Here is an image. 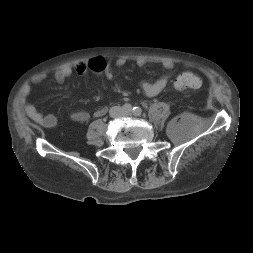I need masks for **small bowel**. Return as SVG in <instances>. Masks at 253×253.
Segmentation results:
<instances>
[{"instance_id":"obj_1","label":"small bowel","mask_w":253,"mask_h":253,"mask_svg":"<svg viewBox=\"0 0 253 253\" xmlns=\"http://www.w3.org/2000/svg\"><path fill=\"white\" fill-rule=\"evenodd\" d=\"M89 62H78L75 64L74 68L65 66L60 68L55 72L54 78L58 83H63L68 77L71 76L73 72H76L79 75H84L87 71H89ZM127 63V59L124 57H119L113 61V65L116 67H122ZM136 64L139 67H142L146 64L145 59H137ZM162 67L166 70H172L174 68V63L171 60H165L162 62ZM113 75L111 66L108 65L106 76L110 78ZM171 75H165L160 77L154 81H144L141 84L143 92L148 97L157 96L171 81ZM45 79L44 75H38L34 77V83H40ZM31 86L26 85L22 90V106L27 114V116L36 124L50 129L56 126L57 124V117L53 114H43L40 112L35 105L29 100V95L31 94ZM107 113V108L102 106L95 109L92 113L85 111V110H77L71 114V119L75 122H86L91 117L99 118L104 116Z\"/></svg>"}]
</instances>
